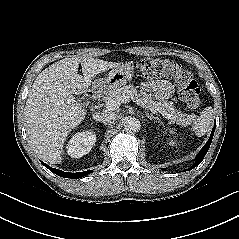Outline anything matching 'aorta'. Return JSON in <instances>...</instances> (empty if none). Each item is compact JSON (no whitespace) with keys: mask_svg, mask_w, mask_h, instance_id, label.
Here are the masks:
<instances>
[{"mask_svg":"<svg viewBox=\"0 0 239 239\" xmlns=\"http://www.w3.org/2000/svg\"><path fill=\"white\" fill-rule=\"evenodd\" d=\"M140 128H141V123L135 117L127 118L124 122V129L128 133L138 132Z\"/></svg>","mask_w":239,"mask_h":239,"instance_id":"obj_1","label":"aorta"}]
</instances>
